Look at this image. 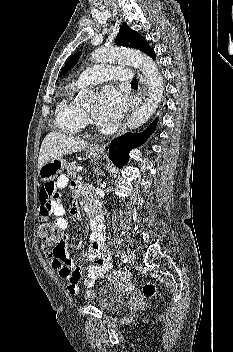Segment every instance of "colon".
<instances>
[{"instance_id": "5ec220e1", "label": "colon", "mask_w": 233, "mask_h": 352, "mask_svg": "<svg viewBox=\"0 0 233 352\" xmlns=\"http://www.w3.org/2000/svg\"><path fill=\"white\" fill-rule=\"evenodd\" d=\"M38 236L41 238V240L49 245V246H56L60 245L63 243V237H64V232L62 229L59 227L48 223V222H43L40 224L38 227ZM143 293L146 296H156L158 295V289L157 287L151 283V282H146L143 286ZM84 297L86 299H90L93 297V292L92 291H86L84 293Z\"/></svg>"}]
</instances>
